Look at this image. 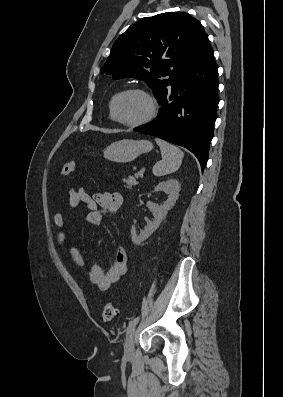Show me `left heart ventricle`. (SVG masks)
<instances>
[{
    "mask_svg": "<svg viewBox=\"0 0 283 397\" xmlns=\"http://www.w3.org/2000/svg\"><path fill=\"white\" fill-rule=\"evenodd\" d=\"M149 112L147 99L138 93H128L121 96L116 104V113L121 120L137 121Z\"/></svg>",
    "mask_w": 283,
    "mask_h": 397,
    "instance_id": "obj_1",
    "label": "left heart ventricle"
}]
</instances>
